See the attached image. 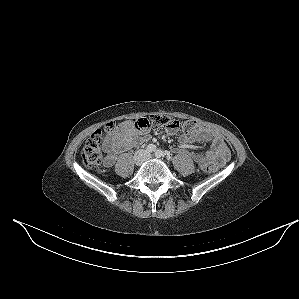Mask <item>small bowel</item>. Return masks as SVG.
<instances>
[{
	"mask_svg": "<svg viewBox=\"0 0 299 299\" xmlns=\"http://www.w3.org/2000/svg\"><path fill=\"white\" fill-rule=\"evenodd\" d=\"M150 139L148 131H138L134 128L123 126L117 138L107 145V156L104 161L106 167H111L117 154L125 152L139 142ZM194 141L211 142L212 148L204 153H191L192 159L202 167L206 163H212L217 167L223 166L230 158V150L223 137L215 131L207 128L200 129L195 136L181 135L179 137L180 150L188 148Z\"/></svg>",
	"mask_w": 299,
	"mask_h": 299,
	"instance_id": "1",
	"label": "small bowel"
}]
</instances>
